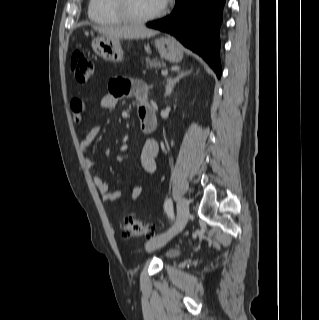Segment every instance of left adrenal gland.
<instances>
[{
  "label": "left adrenal gland",
  "instance_id": "1",
  "mask_svg": "<svg viewBox=\"0 0 319 320\" xmlns=\"http://www.w3.org/2000/svg\"><path fill=\"white\" fill-rule=\"evenodd\" d=\"M191 73L190 71H177V74L174 77H170L167 79V84L165 86V97L169 96L176 85L182 79L184 76L188 75Z\"/></svg>",
  "mask_w": 319,
  "mask_h": 320
}]
</instances>
